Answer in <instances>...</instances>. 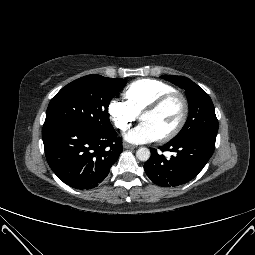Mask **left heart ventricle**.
<instances>
[{
    "instance_id": "1",
    "label": "left heart ventricle",
    "mask_w": 255,
    "mask_h": 255,
    "mask_svg": "<svg viewBox=\"0 0 255 255\" xmlns=\"http://www.w3.org/2000/svg\"><path fill=\"white\" fill-rule=\"evenodd\" d=\"M182 113L180 99L173 98L157 111L144 114L142 122H146L157 132L159 137L169 132L179 121Z\"/></svg>"
}]
</instances>
